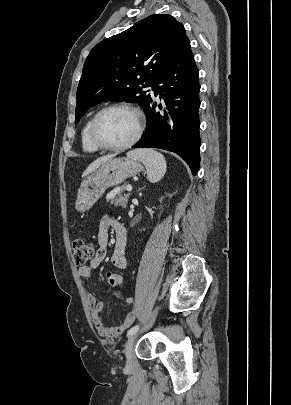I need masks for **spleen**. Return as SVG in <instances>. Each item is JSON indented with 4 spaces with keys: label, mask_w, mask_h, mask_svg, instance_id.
<instances>
[{
    "label": "spleen",
    "mask_w": 291,
    "mask_h": 405,
    "mask_svg": "<svg viewBox=\"0 0 291 405\" xmlns=\"http://www.w3.org/2000/svg\"><path fill=\"white\" fill-rule=\"evenodd\" d=\"M127 156L142 162L147 170L148 180L156 183L164 176L167 165L165 158L153 149H138L128 152Z\"/></svg>",
    "instance_id": "1"
}]
</instances>
